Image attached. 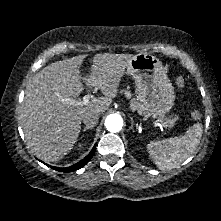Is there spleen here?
Returning a JSON list of instances; mask_svg holds the SVG:
<instances>
[{"mask_svg":"<svg viewBox=\"0 0 221 221\" xmlns=\"http://www.w3.org/2000/svg\"><path fill=\"white\" fill-rule=\"evenodd\" d=\"M203 126L196 123L184 136L150 141L146 148L160 170H171L184 162L200 143Z\"/></svg>","mask_w":221,"mask_h":221,"instance_id":"3e777b00","label":"spleen"}]
</instances>
